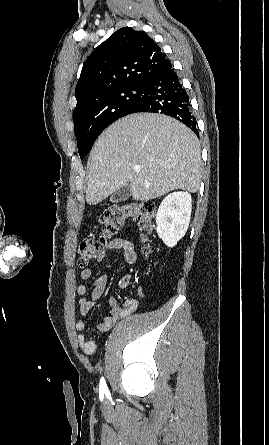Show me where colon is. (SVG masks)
Instances as JSON below:
<instances>
[{
    "mask_svg": "<svg viewBox=\"0 0 269 445\" xmlns=\"http://www.w3.org/2000/svg\"><path fill=\"white\" fill-rule=\"evenodd\" d=\"M155 206L150 201H129L114 204L105 209L99 217V232L84 239L78 246V265L87 267L95 261L108 238L116 234L128 221H134L145 232L143 240L154 226ZM145 253L150 250L145 248Z\"/></svg>",
    "mask_w": 269,
    "mask_h": 445,
    "instance_id": "colon-1",
    "label": "colon"
}]
</instances>
